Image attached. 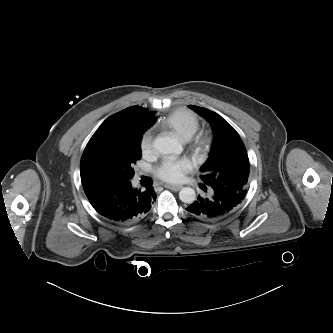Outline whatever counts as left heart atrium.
<instances>
[{
    "instance_id": "1",
    "label": "left heart atrium",
    "mask_w": 333,
    "mask_h": 333,
    "mask_svg": "<svg viewBox=\"0 0 333 333\" xmlns=\"http://www.w3.org/2000/svg\"><path fill=\"white\" fill-rule=\"evenodd\" d=\"M189 169L190 164L186 159L167 158L156 168V175L165 182L177 183Z\"/></svg>"
}]
</instances>
